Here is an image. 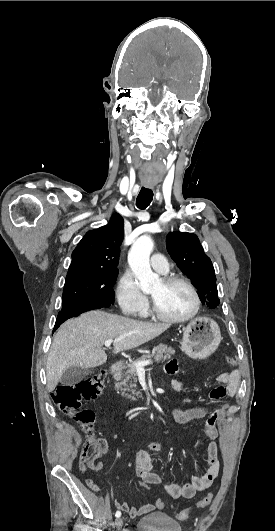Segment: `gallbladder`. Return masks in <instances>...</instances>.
<instances>
[{
  "label": "gallbladder",
  "instance_id": "bac80fb5",
  "mask_svg": "<svg viewBox=\"0 0 275 531\" xmlns=\"http://www.w3.org/2000/svg\"><path fill=\"white\" fill-rule=\"evenodd\" d=\"M91 373H94V369H82V367H69L67 371H65L64 375H62L60 379V383L62 385H66V387H73V385H77V383H80V381H83L87 375H91Z\"/></svg>",
  "mask_w": 275,
  "mask_h": 531
}]
</instances>
